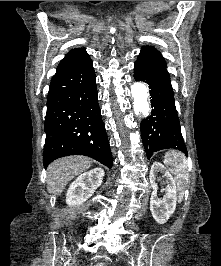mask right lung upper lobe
I'll use <instances>...</instances> for the list:
<instances>
[{
	"label": "right lung upper lobe",
	"mask_w": 221,
	"mask_h": 266,
	"mask_svg": "<svg viewBox=\"0 0 221 266\" xmlns=\"http://www.w3.org/2000/svg\"><path fill=\"white\" fill-rule=\"evenodd\" d=\"M90 59L89 55L86 53L85 49L77 48L72 49L68 54L61 60L59 66L57 67L56 74L68 71L75 67L84 64ZM55 74V75H56Z\"/></svg>",
	"instance_id": "right-lung-upper-lobe-1"
}]
</instances>
